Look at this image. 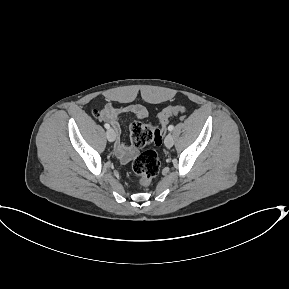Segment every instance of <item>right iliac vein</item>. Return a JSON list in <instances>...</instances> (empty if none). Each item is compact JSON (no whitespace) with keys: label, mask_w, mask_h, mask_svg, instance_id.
Instances as JSON below:
<instances>
[{"label":"right iliac vein","mask_w":289,"mask_h":289,"mask_svg":"<svg viewBox=\"0 0 289 289\" xmlns=\"http://www.w3.org/2000/svg\"><path fill=\"white\" fill-rule=\"evenodd\" d=\"M106 137L110 142H113L116 138V133L113 129H108L106 132Z\"/></svg>","instance_id":"obj_1"}]
</instances>
